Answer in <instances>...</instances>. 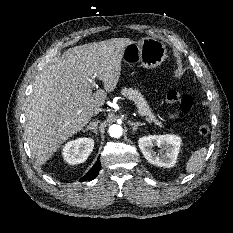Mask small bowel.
I'll return each instance as SVG.
<instances>
[{
	"label": "small bowel",
	"instance_id": "1",
	"mask_svg": "<svg viewBox=\"0 0 233 233\" xmlns=\"http://www.w3.org/2000/svg\"><path fill=\"white\" fill-rule=\"evenodd\" d=\"M171 116H172V117H175L176 115H175V114H172Z\"/></svg>",
	"mask_w": 233,
	"mask_h": 233
}]
</instances>
